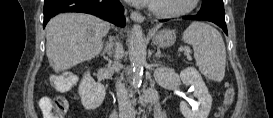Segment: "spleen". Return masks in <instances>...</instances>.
I'll list each match as a JSON object with an SVG mask.
<instances>
[{"mask_svg": "<svg viewBox=\"0 0 273 118\" xmlns=\"http://www.w3.org/2000/svg\"><path fill=\"white\" fill-rule=\"evenodd\" d=\"M182 40L192 45L196 64L210 80L220 82L225 75L226 49L221 34L209 24L193 22Z\"/></svg>", "mask_w": 273, "mask_h": 118, "instance_id": "spleen-1", "label": "spleen"}]
</instances>
